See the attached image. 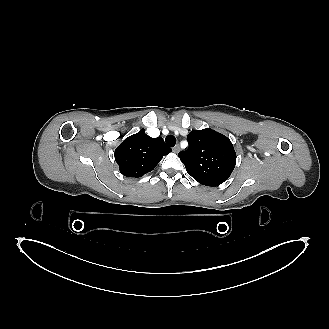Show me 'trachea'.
<instances>
[{
	"instance_id": "1",
	"label": "trachea",
	"mask_w": 329,
	"mask_h": 329,
	"mask_svg": "<svg viewBox=\"0 0 329 329\" xmlns=\"http://www.w3.org/2000/svg\"><path fill=\"white\" fill-rule=\"evenodd\" d=\"M165 142L168 146L170 147H174L175 144H176V138L173 136V135H168L166 138H165Z\"/></svg>"
}]
</instances>
